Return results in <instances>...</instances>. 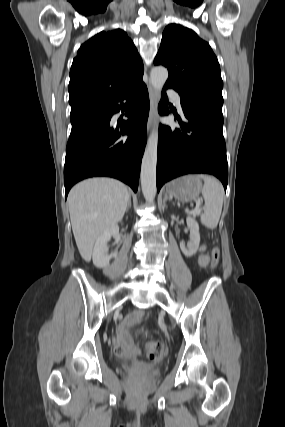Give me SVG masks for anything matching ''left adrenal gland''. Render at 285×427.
I'll list each match as a JSON object with an SVG mask.
<instances>
[{"label":"left adrenal gland","mask_w":285,"mask_h":427,"mask_svg":"<svg viewBox=\"0 0 285 427\" xmlns=\"http://www.w3.org/2000/svg\"><path fill=\"white\" fill-rule=\"evenodd\" d=\"M167 200L171 201V199H170V198H168L167 194H165L164 199H163V202L165 203Z\"/></svg>","instance_id":"a2214340"}]
</instances>
